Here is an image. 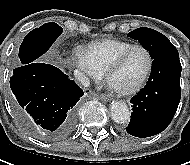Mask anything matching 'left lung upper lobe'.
<instances>
[{
	"instance_id": "5c2ea615",
	"label": "left lung upper lobe",
	"mask_w": 190,
	"mask_h": 165,
	"mask_svg": "<svg viewBox=\"0 0 190 165\" xmlns=\"http://www.w3.org/2000/svg\"><path fill=\"white\" fill-rule=\"evenodd\" d=\"M128 36L138 40L149 51L152 59L167 51L176 49L163 34L150 28L142 27L135 29L128 33Z\"/></svg>"
}]
</instances>
